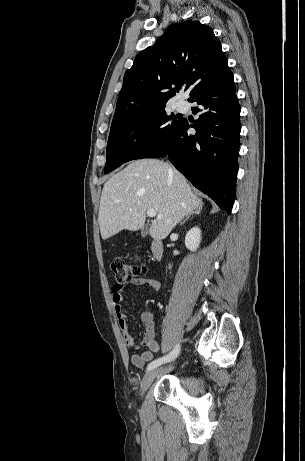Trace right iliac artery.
Segmentation results:
<instances>
[{
	"instance_id": "82829eb1",
	"label": "right iliac artery",
	"mask_w": 305,
	"mask_h": 461,
	"mask_svg": "<svg viewBox=\"0 0 305 461\" xmlns=\"http://www.w3.org/2000/svg\"><path fill=\"white\" fill-rule=\"evenodd\" d=\"M179 350H180V345H176V347L168 355L150 362L147 366V371H150L165 362H169L173 360L179 353Z\"/></svg>"
}]
</instances>
